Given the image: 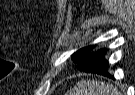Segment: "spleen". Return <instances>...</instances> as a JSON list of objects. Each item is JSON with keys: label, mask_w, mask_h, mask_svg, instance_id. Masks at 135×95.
Here are the masks:
<instances>
[{"label": "spleen", "mask_w": 135, "mask_h": 95, "mask_svg": "<svg viewBox=\"0 0 135 95\" xmlns=\"http://www.w3.org/2000/svg\"><path fill=\"white\" fill-rule=\"evenodd\" d=\"M112 84H105L97 80H81L66 95H117Z\"/></svg>", "instance_id": "spleen-1"}]
</instances>
